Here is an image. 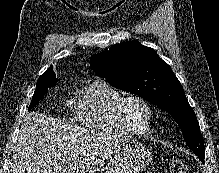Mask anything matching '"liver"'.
I'll use <instances>...</instances> for the list:
<instances>
[{"mask_svg": "<svg viewBox=\"0 0 219 173\" xmlns=\"http://www.w3.org/2000/svg\"><path fill=\"white\" fill-rule=\"evenodd\" d=\"M122 140L30 112L22 122L13 173H94Z\"/></svg>", "mask_w": 219, "mask_h": 173, "instance_id": "obj_1", "label": "liver"}]
</instances>
